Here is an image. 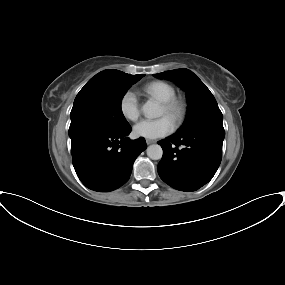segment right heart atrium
I'll return each instance as SVG.
<instances>
[{
    "label": "right heart atrium",
    "mask_w": 285,
    "mask_h": 285,
    "mask_svg": "<svg viewBox=\"0 0 285 285\" xmlns=\"http://www.w3.org/2000/svg\"><path fill=\"white\" fill-rule=\"evenodd\" d=\"M119 108L125 119L136 121L140 116V104L135 92L127 90L120 99Z\"/></svg>",
    "instance_id": "obj_1"
}]
</instances>
